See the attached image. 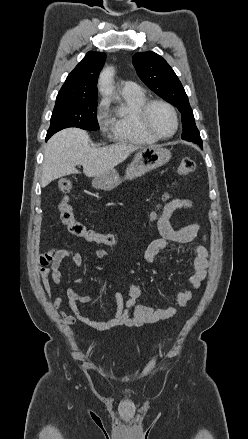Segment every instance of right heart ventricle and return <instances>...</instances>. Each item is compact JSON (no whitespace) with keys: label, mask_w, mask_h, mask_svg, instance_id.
I'll return each instance as SVG.
<instances>
[{"label":"right heart ventricle","mask_w":248,"mask_h":439,"mask_svg":"<svg viewBox=\"0 0 248 439\" xmlns=\"http://www.w3.org/2000/svg\"><path fill=\"white\" fill-rule=\"evenodd\" d=\"M147 100L140 87L134 92H122V102L109 120V131L113 139L136 145H149L158 141L145 131L139 120V110Z\"/></svg>","instance_id":"e07e8e85"}]
</instances>
